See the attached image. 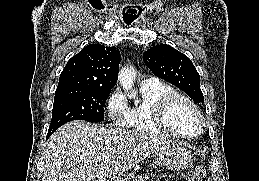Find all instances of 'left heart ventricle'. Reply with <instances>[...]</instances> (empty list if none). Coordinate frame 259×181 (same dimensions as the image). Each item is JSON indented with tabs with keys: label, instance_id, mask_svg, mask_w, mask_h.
<instances>
[{
	"label": "left heart ventricle",
	"instance_id": "left-heart-ventricle-1",
	"mask_svg": "<svg viewBox=\"0 0 259 181\" xmlns=\"http://www.w3.org/2000/svg\"><path fill=\"white\" fill-rule=\"evenodd\" d=\"M172 125L185 133H195L198 130L199 121L193 109L185 102H177L170 114Z\"/></svg>",
	"mask_w": 259,
	"mask_h": 181
}]
</instances>
